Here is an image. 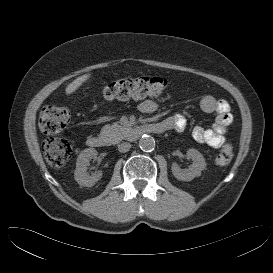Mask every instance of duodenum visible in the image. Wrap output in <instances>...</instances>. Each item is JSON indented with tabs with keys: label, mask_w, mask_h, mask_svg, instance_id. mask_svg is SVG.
<instances>
[{
	"label": "duodenum",
	"mask_w": 273,
	"mask_h": 273,
	"mask_svg": "<svg viewBox=\"0 0 273 273\" xmlns=\"http://www.w3.org/2000/svg\"><path fill=\"white\" fill-rule=\"evenodd\" d=\"M166 130L168 129L163 123L136 125L131 129L130 136L135 140L145 134H160ZM87 144L92 148H103L109 144V141L103 135H93L87 139Z\"/></svg>",
	"instance_id": "duodenum-1"
}]
</instances>
